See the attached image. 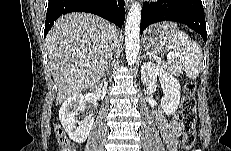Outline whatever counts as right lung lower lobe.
Wrapping results in <instances>:
<instances>
[{
	"instance_id": "98d812e1",
	"label": "right lung lower lobe",
	"mask_w": 231,
	"mask_h": 151,
	"mask_svg": "<svg viewBox=\"0 0 231 151\" xmlns=\"http://www.w3.org/2000/svg\"><path fill=\"white\" fill-rule=\"evenodd\" d=\"M70 12L92 13L118 27L125 20L124 0H49L44 37L60 16Z\"/></svg>"
}]
</instances>
